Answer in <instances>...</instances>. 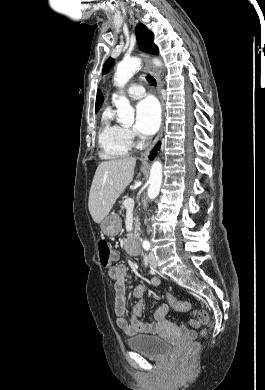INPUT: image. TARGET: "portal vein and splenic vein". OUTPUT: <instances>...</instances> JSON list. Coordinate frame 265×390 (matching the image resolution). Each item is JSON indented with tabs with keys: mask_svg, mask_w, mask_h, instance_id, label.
<instances>
[{
	"mask_svg": "<svg viewBox=\"0 0 265 390\" xmlns=\"http://www.w3.org/2000/svg\"><path fill=\"white\" fill-rule=\"evenodd\" d=\"M124 206L127 209H133L134 208V200L132 198H128L124 201Z\"/></svg>",
	"mask_w": 265,
	"mask_h": 390,
	"instance_id": "1",
	"label": "portal vein and splenic vein"
}]
</instances>
